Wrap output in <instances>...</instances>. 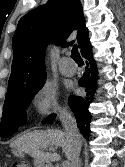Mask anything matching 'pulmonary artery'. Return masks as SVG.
Returning a JSON list of instances; mask_svg holds the SVG:
<instances>
[{"instance_id": "1", "label": "pulmonary artery", "mask_w": 125, "mask_h": 167, "mask_svg": "<svg viewBox=\"0 0 125 167\" xmlns=\"http://www.w3.org/2000/svg\"><path fill=\"white\" fill-rule=\"evenodd\" d=\"M69 58H63L59 64V69L61 73L67 77L74 76L77 71V67L75 65L67 66L66 63L69 61Z\"/></svg>"}]
</instances>
